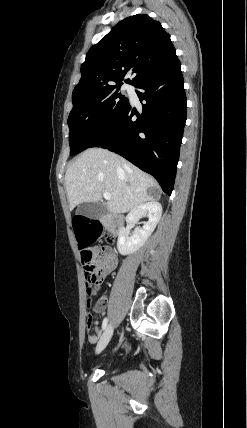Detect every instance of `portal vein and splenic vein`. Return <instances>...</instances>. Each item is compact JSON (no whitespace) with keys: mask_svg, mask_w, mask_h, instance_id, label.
Here are the masks:
<instances>
[{"mask_svg":"<svg viewBox=\"0 0 247 428\" xmlns=\"http://www.w3.org/2000/svg\"><path fill=\"white\" fill-rule=\"evenodd\" d=\"M103 197H104L106 200H108V201H110V200H111V195H110L108 192H104V193H103Z\"/></svg>","mask_w":247,"mask_h":428,"instance_id":"portal-vein-and-splenic-vein-1","label":"portal vein and splenic vein"}]
</instances>
